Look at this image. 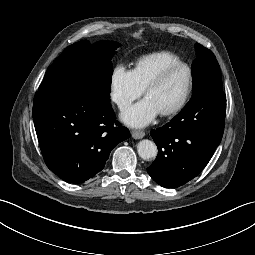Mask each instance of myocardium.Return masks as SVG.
Segmentation results:
<instances>
[{
    "label": "myocardium",
    "instance_id": "myocardium-1",
    "mask_svg": "<svg viewBox=\"0 0 255 255\" xmlns=\"http://www.w3.org/2000/svg\"><path fill=\"white\" fill-rule=\"evenodd\" d=\"M177 67H182L184 69H186L187 71V75H188V86H187V90L186 93L184 95V97L181 99V101L176 104L175 106L160 111L159 113L163 116H170V115H174L179 113L188 103L191 95H192V91H193V74H192V70L190 68V66L181 61H174L172 63H169L167 65H165L153 78L152 80L144 87V91L143 94L144 96H146L148 94V92H150L152 89H154L156 86H158L163 79L165 78V76L173 69L177 68Z\"/></svg>",
    "mask_w": 255,
    "mask_h": 255
}]
</instances>
